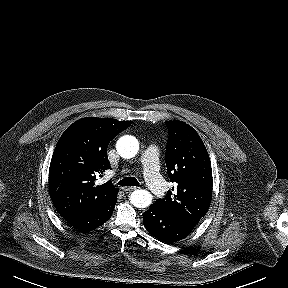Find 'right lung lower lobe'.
Masks as SVG:
<instances>
[{
    "instance_id": "1",
    "label": "right lung lower lobe",
    "mask_w": 288,
    "mask_h": 288,
    "mask_svg": "<svg viewBox=\"0 0 288 288\" xmlns=\"http://www.w3.org/2000/svg\"><path fill=\"white\" fill-rule=\"evenodd\" d=\"M117 201V195L105 202L97 209L82 215L64 218L68 224L79 230L80 232H89L103 225L110 219L114 206Z\"/></svg>"
}]
</instances>
